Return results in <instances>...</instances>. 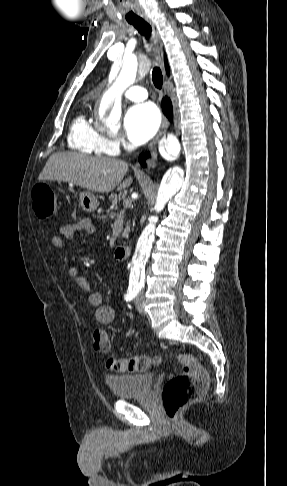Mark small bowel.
I'll use <instances>...</instances> for the list:
<instances>
[{"label": "small bowel", "mask_w": 287, "mask_h": 486, "mask_svg": "<svg viewBox=\"0 0 287 486\" xmlns=\"http://www.w3.org/2000/svg\"><path fill=\"white\" fill-rule=\"evenodd\" d=\"M97 228L91 218H83L75 224L63 225L52 236V244L60 250H67L69 245L74 241L80 232L87 234H94ZM69 277L77 286L88 293V299L92 306L95 307V319L99 324L107 325L113 322L115 318V311L110 306L104 303L103 297L100 293L94 291L89 281L80 273L79 269L72 267L69 270Z\"/></svg>", "instance_id": "c3829d8e"}]
</instances>
